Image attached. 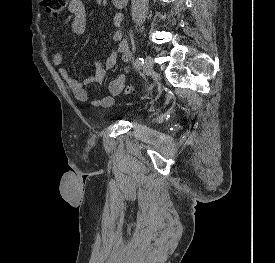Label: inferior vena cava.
Listing matches in <instances>:
<instances>
[{"instance_id": "inferior-vena-cava-1", "label": "inferior vena cava", "mask_w": 275, "mask_h": 263, "mask_svg": "<svg viewBox=\"0 0 275 263\" xmlns=\"http://www.w3.org/2000/svg\"><path fill=\"white\" fill-rule=\"evenodd\" d=\"M132 19L136 25L141 26L147 15L148 0H132Z\"/></svg>"}]
</instances>
